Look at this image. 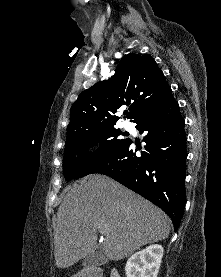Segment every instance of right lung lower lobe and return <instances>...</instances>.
Returning <instances> with one entry per match:
<instances>
[{
  "instance_id": "98d812e1",
  "label": "right lung lower lobe",
  "mask_w": 221,
  "mask_h": 277,
  "mask_svg": "<svg viewBox=\"0 0 221 277\" xmlns=\"http://www.w3.org/2000/svg\"><path fill=\"white\" fill-rule=\"evenodd\" d=\"M133 122L140 133L146 132L141 155H135L137 149L128 139L92 173L105 174L160 207L170 216L176 231L185 206L187 138L171 89Z\"/></svg>"
}]
</instances>
